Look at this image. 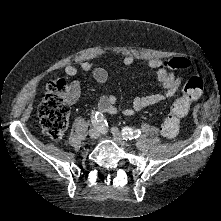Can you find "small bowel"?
<instances>
[{
  "instance_id": "1",
  "label": "small bowel",
  "mask_w": 221,
  "mask_h": 221,
  "mask_svg": "<svg viewBox=\"0 0 221 221\" xmlns=\"http://www.w3.org/2000/svg\"><path fill=\"white\" fill-rule=\"evenodd\" d=\"M134 62V57L127 55L123 58L122 64L129 66ZM79 66L84 71H90L94 80L98 83H105L108 80V72L105 68L96 66L89 61H82L79 63ZM147 68L150 70L156 71L157 81L163 88L161 93H155L146 96L136 97L132 105L120 109L117 106V99L115 96L110 94L102 95L98 101V110L105 114H116L118 111H121L125 116H132L136 112H139L149 106H153L159 103H162L168 99L174 97L182 82L183 78L179 75H176L174 72L167 70L163 67V61L157 58H152L147 61ZM65 73L68 76H74L77 73V69L73 65H66L64 68ZM71 95L70 101L73 102L77 98L80 91V84L77 81H73L70 85Z\"/></svg>"
}]
</instances>
